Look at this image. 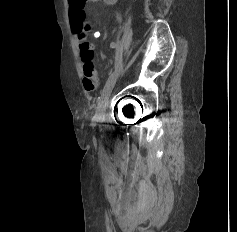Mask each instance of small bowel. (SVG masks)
Masks as SVG:
<instances>
[{"mask_svg":"<svg viewBox=\"0 0 237 232\" xmlns=\"http://www.w3.org/2000/svg\"><path fill=\"white\" fill-rule=\"evenodd\" d=\"M89 2H98L100 0H87ZM79 51L83 67V86L87 91H93L98 86V79L93 63L94 47L86 41L85 35H77Z\"/></svg>","mask_w":237,"mask_h":232,"instance_id":"obj_1","label":"small bowel"}]
</instances>
